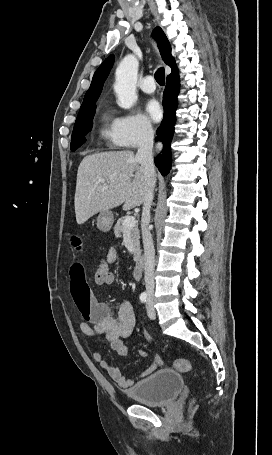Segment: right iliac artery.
<instances>
[{
    "mask_svg": "<svg viewBox=\"0 0 272 455\" xmlns=\"http://www.w3.org/2000/svg\"><path fill=\"white\" fill-rule=\"evenodd\" d=\"M146 300H147V294H146L145 292L141 293V295H140V301H141L142 303H144V302H146Z\"/></svg>",
    "mask_w": 272,
    "mask_h": 455,
    "instance_id": "obj_1",
    "label": "right iliac artery"
}]
</instances>
